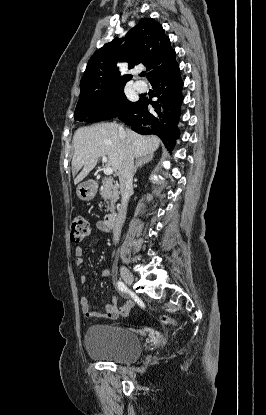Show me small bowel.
I'll return each instance as SVG.
<instances>
[{
	"label": "small bowel",
	"instance_id": "obj_1",
	"mask_svg": "<svg viewBox=\"0 0 266 415\" xmlns=\"http://www.w3.org/2000/svg\"><path fill=\"white\" fill-rule=\"evenodd\" d=\"M96 229L98 230H105V226L102 221L96 223ZM83 248L78 246L75 248V263L76 265L83 264ZM110 273L109 269H105L102 273L104 277L108 276ZM80 281L82 284H87L89 282V278L86 275H82L80 277ZM81 310L83 314L87 318H101V319H116L119 316H127L130 313V310L133 306V302L129 300L125 305L122 307H118L117 299L112 298L109 303L105 305L104 312H94L90 309V304L88 298L83 296L80 299Z\"/></svg>",
	"mask_w": 266,
	"mask_h": 415
}]
</instances>
